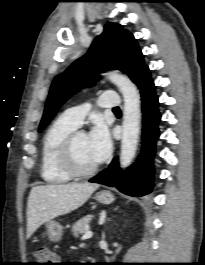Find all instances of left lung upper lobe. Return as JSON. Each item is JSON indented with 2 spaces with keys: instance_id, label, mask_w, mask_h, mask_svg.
Masks as SVG:
<instances>
[{
  "instance_id": "obj_1",
  "label": "left lung upper lobe",
  "mask_w": 205,
  "mask_h": 265,
  "mask_svg": "<svg viewBox=\"0 0 205 265\" xmlns=\"http://www.w3.org/2000/svg\"><path fill=\"white\" fill-rule=\"evenodd\" d=\"M148 66L133 35L117 23H109L93 41L88 53L55 77L39 126L42 131L57 110L82 87L91 86L99 73L117 69L126 73L134 83Z\"/></svg>"
}]
</instances>
